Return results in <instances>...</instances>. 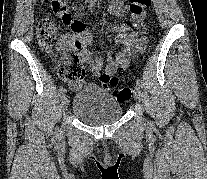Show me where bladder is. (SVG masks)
Returning a JSON list of instances; mask_svg holds the SVG:
<instances>
[{"label": "bladder", "instance_id": "1", "mask_svg": "<svg viewBox=\"0 0 207 179\" xmlns=\"http://www.w3.org/2000/svg\"><path fill=\"white\" fill-rule=\"evenodd\" d=\"M72 112L86 124L101 126L118 120L123 108L110 91L89 83L75 93Z\"/></svg>", "mask_w": 207, "mask_h": 179}]
</instances>
